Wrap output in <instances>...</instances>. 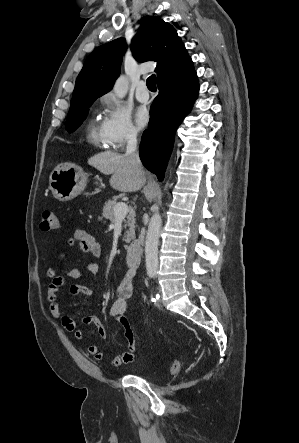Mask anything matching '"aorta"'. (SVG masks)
I'll list each match as a JSON object with an SVG mask.
<instances>
[{
	"instance_id": "1",
	"label": "aorta",
	"mask_w": 299,
	"mask_h": 443,
	"mask_svg": "<svg viewBox=\"0 0 299 443\" xmlns=\"http://www.w3.org/2000/svg\"><path fill=\"white\" fill-rule=\"evenodd\" d=\"M128 85L127 78L120 76L114 84L113 92L117 97L124 98L128 91ZM152 210L153 215L149 222L145 241V258L147 272L149 274H156L158 269V243L162 219L157 204L152 206Z\"/></svg>"
}]
</instances>
